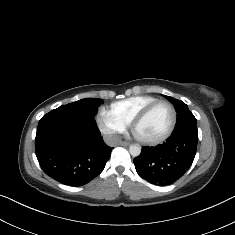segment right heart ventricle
Listing matches in <instances>:
<instances>
[{"label": "right heart ventricle", "mask_w": 235, "mask_h": 235, "mask_svg": "<svg viewBox=\"0 0 235 235\" xmlns=\"http://www.w3.org/2000/svg\"><path fill=\"white\" fill-rule=\"evenodd\" d=\"M153 95H135L111 104L110 112L125 126H129L133 119L148 105L157 101Z\"/></svg>", "instance_id": "1"}]
</instances>
